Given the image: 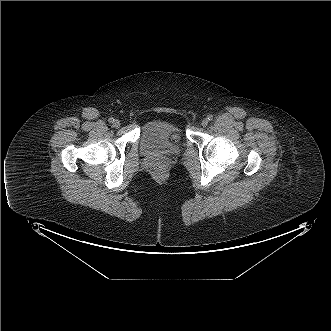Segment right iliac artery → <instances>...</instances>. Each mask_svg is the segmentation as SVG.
Here are the masks:
<instances>
[{"mask_svg":"<svg viewBox=\"0 0 331 331\" xmlns=\"http://www.w3.org/2000/svg\"><path fill=\"white\" fill-rule=\"evenodd\" d=\"M110 123H113L114 122V118H109V120H108Z\"/></svg>","mask_w":331,"mask_h":331,"instance_id":"obj_1","label":"right iliac artery"}]
</instances>
